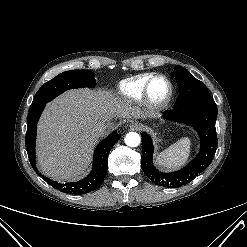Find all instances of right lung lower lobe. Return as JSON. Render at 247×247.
Segmentation results:
<instances>
[{
	"instance_id": "1",
	"label": "right lung lower lobe",
	"mask_w": 247,
	"mask_h": 247,
	"mask_svg": "<svg viewBox=\"0 0 247 247\" xmlns=\"http://www.w3.org/2000/svg\"><path fill=\"white\" fill-rule=\"evenodd\" d=\"M44 107L45 104L37 108L30 109V113L28 115L25 145L32 167L46 182L62 192L81 195L96 190L104 180L105 174L107 172L109 152L114 144L120 139V135L116 131H114L98 144L93 155L92 171L86 178L78 182L65 184L52 181L49 178L41 175L37 171L35 165L36 127Z\"/></svg>"
}]
</instances>
